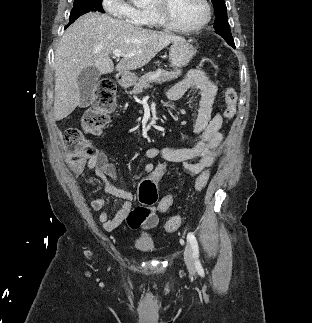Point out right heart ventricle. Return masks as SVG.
Instances as JSON below:
<instances>
[{"label": "right heart ventricle", "mask_w": 312, "mask_h": 323, "mask_svg": "<svg viewBox=\"0 0 312 323\" xmlns=\"http://www.w3.org/2000/svg\"><path fill=\"white\" fill-rule=\"evenodd\" d=\"M136 14L140 16V25H161L156 9H137Z\"/></svg>", "instance_id": "obj_1"}]
</instances>
